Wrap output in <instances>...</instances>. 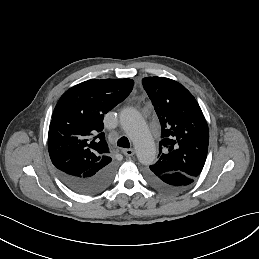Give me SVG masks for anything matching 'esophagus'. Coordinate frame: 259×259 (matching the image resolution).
I'll return each instance as SVG.
<instances>
[{"label":"esophagus","instance_id":"34e87169","mask_svg":"<svg viewBox=\"0 0 259 259\" xmlns=\"http://www.w3.org/2000/svg\"><path fill=\"white\" fill-rule=\"evenodd\" d=\"M122 153L125 155V156H133L135 154V150L134 149H123L122 150Z\"/></svg>","mask_w":259,"mask_h":259}]
</instances>
